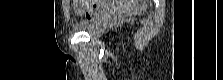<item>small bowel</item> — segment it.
Here are the masks:
<instances>
[{
    "mask_svg": "<svg viewBox=\"0 0 223 80\" xmlns=\"http://www.w3.org/2000/svg\"><path fill=\"white\" fill-rule=\"evenodd\" d=\"M121 7L120 2L113 3L111 6L112 10H118ZM75 10L78 15L84 16L86 18H91L94 16L103 15L108 10L106 7L96 4V3H85L76 4Z\"/></svg>",
    "mask_w": 223,
    "mask_h": 80,
    "instance_id": "obj_1",
    "label": "small bowel"
}]
</instances>
